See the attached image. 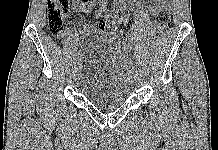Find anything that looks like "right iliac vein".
Masks as SVG:
<instances>
[{
  "instance_id": "1",
  "label": "right iliac vein",
  "mask_w": 218,
  "mask_h": 150,
  "mask_svg": "<svg viewBox=\"0 0 218 150\" xmlns=\"http://www.w3.org/2000/svg\"><path fill=\"white\" fill-rule=\"evenodd\" d=\"M78 63H79V61H78ZM78 75H79V68H76L75 69V79L78 78Z\"/></svg>"
}]
</instances>
